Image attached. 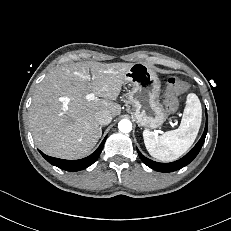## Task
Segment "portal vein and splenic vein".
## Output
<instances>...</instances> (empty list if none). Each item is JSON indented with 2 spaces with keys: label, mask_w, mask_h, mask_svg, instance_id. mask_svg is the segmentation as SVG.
Instances as JSON below:
<instances>
[{
  "label": "portal vein and splenic vein",
  "mask_w": 231,
  "mask_h": 231,
  "mask_svg": "<svg viewBox=\"0 0 231 231\" xmlns=\"http://www.w3.org/2000/svg\"><path fill=\"white\" fill-rule=\"evenodd\" d=\"M85 98H86L87 100L91 101V100H95V99H96V96H95L94 93H90V94H87V95L85 96Z\"/></svg>",
  "instance_id": "1"
}]
</instances>
